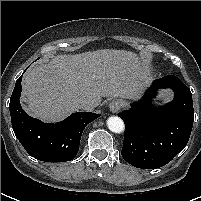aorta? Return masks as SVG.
<instances>
[{
  "instance_id": "1",
  "label": "aorta",
  "mask_w": 201,
  "mask_h": 201,
  "mask_svg": "<svg viewBox=\"0 0 201 201\" xmlns=\"http://www.w3.org/2000/svg\"><path fill=\"white\" fill-rule=\"evenodd\" d=\"M107 126L109 130L115 133H121L124 131V122L117 116H111L107 119Z\"/></svg>"
}]
</instances>
